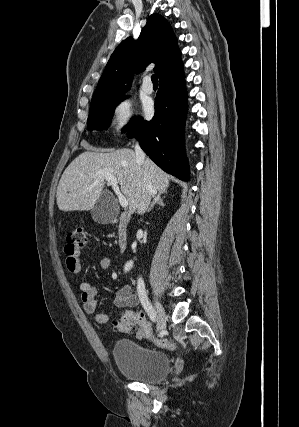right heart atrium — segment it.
Returning a JSON list of instances; mask_svg holds the SVG:
<instances>
[{"label": "right heart atrium", "mask_w": 299, "mask_h": 427, "mask_svg": "<svg viewBox=\"0 0 299 427\" xmlns=\"http://www.w3.org/2000/svg\"><path fill=\"white\" fill-rule=\"evenodd\" d=\"M133 102L128 96H121L111 106L110 129L115 137L123 136L132 126Z\"/></svg>", "instance_id": "obj_1"}]
</instances>
